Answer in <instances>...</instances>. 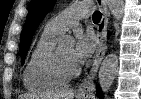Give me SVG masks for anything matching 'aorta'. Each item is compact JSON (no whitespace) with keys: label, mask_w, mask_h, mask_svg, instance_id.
I'll list each match as a JSON object with an SVG mask.
<instances>
[{"label":"aorta","mask_w":141,"mask_h":99,"mask_svg":"<svg viewBox=\"0 0 141 99\" xmlns=\"http://www.w3.org/2000/svg\"><path fill=\"white\" fill-rule=\"evenodd\" d=\"M106 3L115 20L120 22L124 14V0H106ZM65 41L67 44L72 43L70 38H67ZM117 68L118 56L115 53L108 54L101 63L98 81L105 98H107L108 92L114 82Z\"/></svg>","instance_id":"762f6f07"}]
</instances>
